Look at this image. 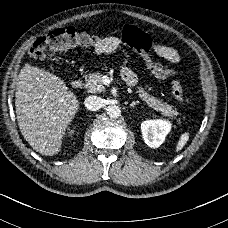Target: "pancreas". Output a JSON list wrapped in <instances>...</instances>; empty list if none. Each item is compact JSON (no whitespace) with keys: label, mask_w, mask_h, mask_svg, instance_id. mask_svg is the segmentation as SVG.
Returning a JSON list of instances; mask_svg holds the SVG:
<instances>
[{"label":"pancreas","mask_w":228,"mask_h":228,"mask_svg":"<svg viewBox=\"0 0 228 228\" xmlns=\"http://www.w3.org/2000/svg\"><path fill=\"white\" fill-rule=\"evenodd\" d=\"M103 75L99 73H90L89 77L86 78L85 88L91 93H100L105 91L102 84ZM135 92L145 101L147 106L153 108L155 111H160L163 117H167L169 120H173L177 117L178 112L174 111L172 105L162 103L156 96H151L141 86L135 87ZM178 126L181 125V120L177 119Z\"/></svg>","instance_id":"cf45deb5"}]
</instances>
